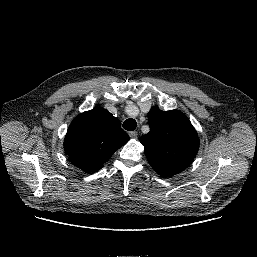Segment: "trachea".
Segmentation results:
<instances>
[{
    "instance_id": "trachea-1",
    "label": "trachea",
    "mask_w": 257,
    "mask_h": 257,
    "mask_svg": "<svg viewBox=\"0 0 257 257\" xmlns=\"http://www.w3.org/2000/svg\"><path fill=\"white\" fill-rule=\"evenodd\" d=\"M137 122L134 119H127L123 123V128L128 131H133L136 129Z\"/></svg>"
}]
</instances>
